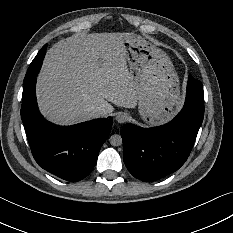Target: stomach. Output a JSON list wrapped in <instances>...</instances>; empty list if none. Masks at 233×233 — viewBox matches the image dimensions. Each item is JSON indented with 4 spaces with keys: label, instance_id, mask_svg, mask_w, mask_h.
Masks as SVG:
<instances>
[{
    "label": "stomach",
    "instance_id": "stomach-1",
    "mask_svg": "<svg viewBox=\"0 0 233 233\" xmlns=\"http://www.w3.org/2000/svg\"><path fill=\"white\" fill-rule=\"evenodd\" d=\"M123 48L143 121L156 126L170 120L182 102L179 78L170 58L140 35L124 39Z\"/></svg>",
    "mask_w": 233,
    "mask_h": 233
}]
</instances>
